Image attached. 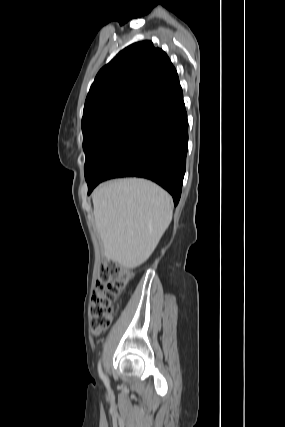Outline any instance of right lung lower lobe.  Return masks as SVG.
I'll list each match as a JSON object with an SVG mask.
<instances>
[{"instance_id":"1","label":"right lung lower lobe","mask_w":285,"mask_h":427,"mask_svg":"<svg viewBox=\"0 0 285 427\" xmlns=\"http://www.w3.org/2000/svg\"><path fill=\"white\" fill-rule=\"evenodd\" d=\"M187 150L188 121L178 82L143 109L94 176L87 181L88 193L104 180L136 176L162 186L177 205Z\"/></svg>"}]
</instances>
